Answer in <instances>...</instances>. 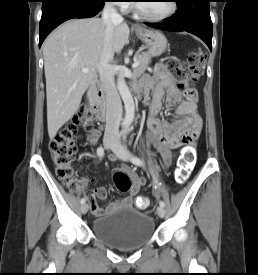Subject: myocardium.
I'll return each instance as SVG.
<instances>
[{
	"label": "myocardium",
	"mask_w": 258,
	"mask_h": 275,
	"mask_svg": "<svg viewBox=\"0 0 258 275\" xmlns=\"http://www.w3.org/2000/svg\"><path fill=\"white\" fill-rule=\"evenodd\" d=\"M171 3V8L170 10L164 14V15H161V16H152V15H149L148 13H146L142 7L140 6V4L138 3H135L134 4V8L136 10V12L141 15L142 17L148 19V20H151V21H163L165 19H168L170 17H172L178 10V5H177V2L175 0H171L170 1Z\"/></svg>",
	"instance_id": "1"
}]
</instances>
